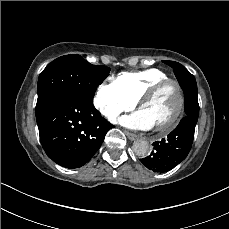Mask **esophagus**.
I'll list each match as a JSON object with an SVG mask.
<instances>
[{"instance_id": "obj_1", "label": "esophagus", "mask_w": 229, "mask_h": 229, "mask_svg": "<svg viewBox=\"0 0 229 229\" xmlns=\"http://www.w3.org/2000/svg\"><path fill=\"white\" fill-rule=\"evenodd\" d=\"M126 136L128 137L129 140L134 141L137 139V136L131 132L126 131L125 132Z\"/></svg>"}]
</instances>
